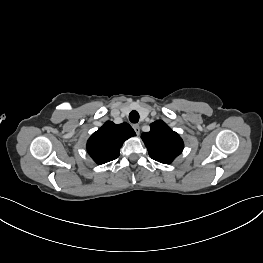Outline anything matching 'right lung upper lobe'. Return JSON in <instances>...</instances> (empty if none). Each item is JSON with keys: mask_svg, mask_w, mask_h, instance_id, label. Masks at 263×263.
<instances>
[{"mask_svg": "<svg viewBox=\"0 0 263 263\" xmlns=\"http://www.w3.org/2000/svg\"><path fill=\"white\" fill-rule=\"evenodd\" d=\"M135 135L128 123L117 125L107 121L89 138L87 151L97 164H104L116 159L124 141Z\"/></svg>", "mask_w": 263, "mask_h": 263, "instance_id": "right-lung-upper-lobe-1", "label": "right lung upper lobe"}]
</instances>
